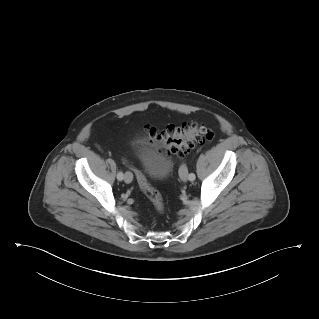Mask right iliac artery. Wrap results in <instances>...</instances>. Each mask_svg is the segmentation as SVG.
<instances>
[{
  "label": "right iliac artery",
  "mask_w": 319,
  "mask_h": 319,
  "mask_svg": "<svg viewBox=\"0 0 319 319\" xmlns=\"http://www.w3.org/2000/svg\"><path fill=\"white\" fill-rule=\"evenodd\" d=\"M123 178H124V175H123V173L120 171V172H118V174H117V179L118 180H123Z\"/></svg>",
  "instance_id": "82829eb1"
}]
</instances>
